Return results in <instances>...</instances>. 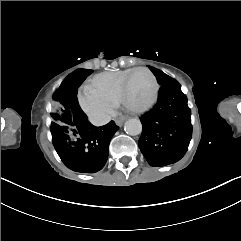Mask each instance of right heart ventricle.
<instances>
[{"label":"right heart ventricle","instance_id":"1","mask_svg":"<svg viewBox=\"0 0 241 241\" xmlns=\"http://www.w3.org/2000/svg\"><path fill=\"white\" fill-rule=\"evenodd\" d=\"M133 71H135V69L102 72L94 75L86 82V84H94L100 93L109 96L114 104L117 105L119 99L122 97L123 76L130 75V73H133ZM132 79L133 78H131V80ZM127 95H129V91H127Z\"/></svg>","mask_w":241,"mask_h":241}]
</instances>
